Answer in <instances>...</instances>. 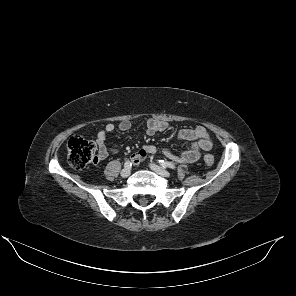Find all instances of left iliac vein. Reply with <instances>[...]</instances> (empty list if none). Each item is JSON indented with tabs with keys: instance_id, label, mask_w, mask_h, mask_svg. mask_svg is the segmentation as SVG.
I'll return each mask as SVG.
<instances>
[{
	"instance_id": "obj_1",
	"label": "left iliac vein",
	"mask_w": 296,
	"mask_h": 296,
	"mask_svg": "<svg viewBox=\"0 0 296 296\" xmlns=\"http://www.w3.org/2000/svg\"><path fill=\"white\" fill-rule=\"evenodd\" d=\"M150 168L156 172L157 174L161 175V176H164V177H169L170 176V173L163 169L162 167L158 166V165H155V164H150Z\"/></svg>"
}]
</instances>
